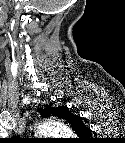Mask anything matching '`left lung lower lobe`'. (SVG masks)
<instances>
[{
	"label": "left lung lower lobe",
	"mask_w": 125,
	"mask_h": 143,
	"mask_svg": "<svg viewBox=\"0 0 125 143\" xmlns=\"http://www.w3.org/2000/svg\"><path fill=\"white\" fill-rule=\"evenodd\" d=\"M64 120H66V122H68L71 125V127H72V125H75L76 123H79V122L82 121L79 116H76V115H73L72 113H70L68 108H66V113H65V116H64ZM90 133L91 132L89 131V133H85V134H82V135H79V136L87 138V137H90Z\"/></svg>",
	"instance_id": "1"
}]
</instances>
